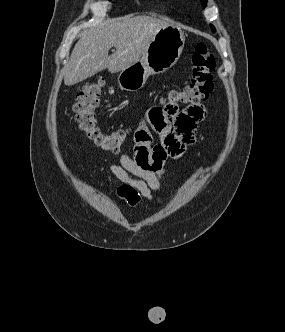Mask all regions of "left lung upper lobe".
Here are the masks:
<instances>
[{
    "instance_id": "1",
    "label": "left lung upper lobe",
    "mask_w": 285,
    "mask_h": 332,
    "mask_svg": "<svg viewBox=\"0 0 285 332\" xmlns=\"http://www.w3.org/2000/svg\"><path fill=\"white\" fill-rule=\"evenodd\" d=\"M202 6L205 8L207 5V0H201ZM212 30H215V28L211 25Z\"/></svg>"
}]
</instances>
